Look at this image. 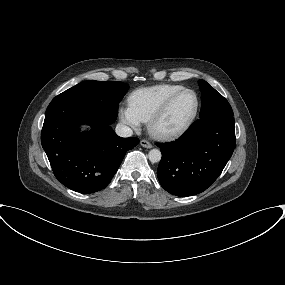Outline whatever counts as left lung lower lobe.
I'll return each mask as SVG.
<instances>
[{"label":"left lung lower lobe","mask_w":285,"mask_h":285,"mask_svg":"<svg viewBox=\"0 0 285 285\" xmlns=\"http://www.w3.org/2000/svg\"><path fill=\"white\" fill-rule=\"evenodd\" d=\"M157 146L162 153L157 170L161 186L177 196L199 194L215 182L232 156L233 114L201 117L177 140Z\"/></svg>","instance_id":"left-lung-lower-lobe-1"}]
</instances>
